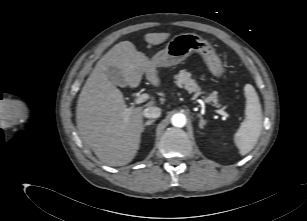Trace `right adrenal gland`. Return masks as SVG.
I'll use <instances>...</instances> for the list:
<instances>
[{
  "label": "right adrenal gland",
  "instance_id": "obj_1",
  "mask_svg": "<svg viewBox=\"0 0 307 221\" xmlns=\"http://www.w3.org/2000/svg\"><path fill=\"white\" fill-rule=\"evenodd\" d=\"M154 122H155V120H148L147 122H145V123L143 124V126H142V132H144L145 127H147V126L153 124Z\"/></svg>",
  "mask_w": 307,
  "mask_h": 221
}]
</instances>
